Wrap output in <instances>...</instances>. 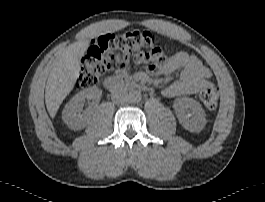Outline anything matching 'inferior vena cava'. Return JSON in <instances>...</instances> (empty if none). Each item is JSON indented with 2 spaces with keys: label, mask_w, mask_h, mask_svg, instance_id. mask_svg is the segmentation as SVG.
I'll return each mask as SVG.
<instances>
[{
  "label": "inferior vena cava",
  "mask_w": 265,
  "mask_h": 202,
  "mask_svg": "<svg viewBox=\"0 0 265 202\" xmlns=\"http://www.w3.org/2000/svg\"><path fill=\"white\" fill-rule=\"evenodd\" d=\"M128 96V91L123 87H119L112 91L111 99L115 104H124L128 101Z\"/></svg>",
  "instance_id": "1"
}]
</instances>
